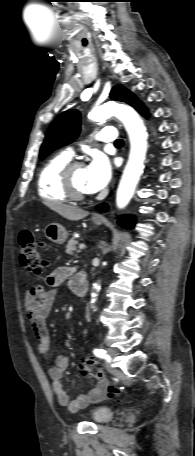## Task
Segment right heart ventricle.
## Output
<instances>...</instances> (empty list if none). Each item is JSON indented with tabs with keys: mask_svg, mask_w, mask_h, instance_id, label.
<instances>
[{
	"mask_svg": "<svg viewBox=\"0 0 195 456\" xmlns=\"http://www.w3.org/2000/svg\"><path fill=\"white\" fill-rule=\"evenodd\" d=\"M71 161L66 153H60L50 158L41 168L37 188L39 195L49 201L65 202L68 199L61 183V173Z\"/></svg>",
	"mask_w": 195,
	"mask_h": 456,
	"instance_id": "obj_1",
	"label": "right heart ventricle"
}]
</instances>
